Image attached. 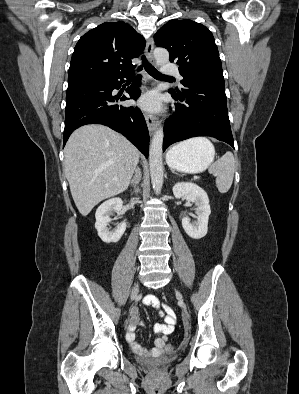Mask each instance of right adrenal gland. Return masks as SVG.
<instances>
[{
    "label": "right adrenal gland",
    "instance_id": "right-adrenal-gland-1",
    "mask_svg": "<svg viewBox=\"0 0 299 394\" xmlns=\"http://www.w3.org/2000/svg\"><path fill=\"white\" fill-rule=\"evenodd\" d=\"M141 171H140V169L139 168H137L136 170H135V176L132 178V180H131V186L133 187V188H135L136 187V185H138L139 184V182H140V180H141Z\"/></svg>",
    "mask_w": 299,
    "mask_h": 394
}]
</instances>
